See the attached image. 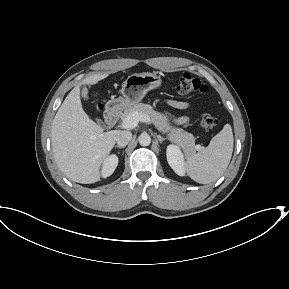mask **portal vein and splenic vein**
I'll return each instance as SVG.
<instances>
[{
    "instance_id": "18ae733b",
    "label": "portal vein and splenic vein",
    "mask_w": 289,
    "mask_h": 289,
    "mask_svg": "<svg viewBox=\"0 0 289 289\" xmlns=\"http://www.w3.org/2000/svg\"><path fill=\"white\" fill-rule=\"evenodd\" d=\"M139 121L147 123V124L151 123V119L147 115H142L139 113H133V114H130L129 116H127L126 118L123 119L121 127L124 129L130 130V129L135 128L138 125ZM196 149L200 150L201 146L197 145Z\"/></svg>"
}]
</instances>
